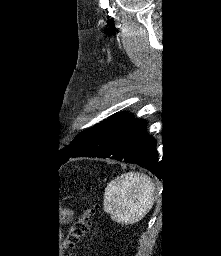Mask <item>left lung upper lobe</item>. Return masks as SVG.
I'll return each instance as SVG.
<instances>
[{
  "label": "left lung upper lobe",
  "instance_id": "left-lung-upper-lobe-1",
  "mask_svg": "<svg viewBox=\"0 0 221 256\" xmlns=\"http://www.w3.org/2000/svg\"><path fill=\"white\" fill-rule=\"evenodd\" d=\"M123 113H126V112H122V113L116 114L114 116H111L107 120H104L103 122L95 125L92 129H87L84 132L80 133L78 136H76L74 138V140L70 144L66 145L65 147H63L60 150V152L58 154V161L61 163L66 162L74 154V152L77 150V148L86 139H88L93 133H95L105 122H107L108 120H111Z\"/></svg>",
  "mask_w": 221,
  "mask_h": 256
}]
</instances>
